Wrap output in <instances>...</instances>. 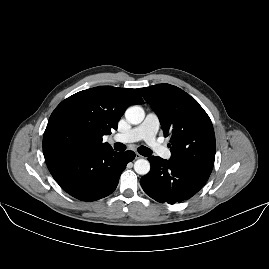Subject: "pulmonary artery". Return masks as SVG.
I'll return each instance as SVG.
<instances>
[{"label":"pulmonary artery","instance_id":"1","mask_svg":"<svg viewBox=\"0 0 269 269\" xmlns=\"http://www.w3.org/2000/svg\"><path fill=\"white\" fill-rule=\"evenodd\" d=\"M159 128L160 120L158 115L154 112H150L139 126H136L127 132L114 135L113 140L123 144L145 141L154 149L158 156L168 159L170 157V152L166 150L163 145L157 144L156 142V135Z\"/></svg>","mask_w":269,"mask_h":269}]
</instances>
